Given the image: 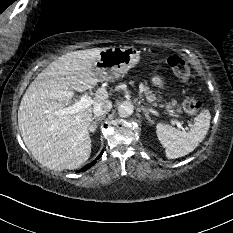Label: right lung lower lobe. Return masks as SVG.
I'll list each match as a JSON object with an SVG mask.
<instances>
[{"mask_svg": "<svg viewBox=\"0 0 233 233\" xmlns=\"http://www.w3.org/2000/svg\"><path fill=\"white\" fill-rule=\"evenodd\" d=\"M102 153H103V151L99 154V156L96 158V160H98L102 156ZM96 160H94L92 163L84 166L81 170H79V172H82V171L89 169L91 166H93L96 163Z\"/></svg>", "mask_w": 233, "mask_h": 233, "instance_id": "98d812e1", "label": "right lung lower lobe"}]
</instances>
